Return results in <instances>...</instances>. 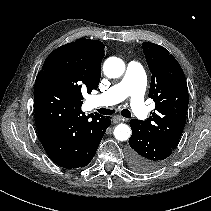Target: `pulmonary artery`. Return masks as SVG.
I'll list each match as a JSON object with an SVG mask.
<instances>
[{"instance_id": "pulmonary-artery-1", "label": "pulmonary artery", "mask_w": 211, "mask_h": 211, "mask_svg": "<svg viewBox=\"0 0 211 211\" xmlns=\"http://www.w3.org/2000/svg\"><path fill=\"white\" fill-rule=\"evenodd\" d=\"M145 87L146 76L141 63L130 61L123 78L106 92L91 97L90 105L111 106L129 98L133 113L144 120L148 114L144 104Z\"/></svg>"}]
</instances>
